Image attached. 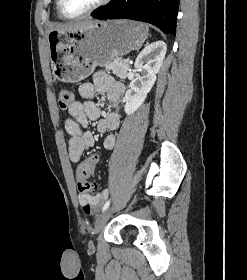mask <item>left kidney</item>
<instances>
[{"label": "left kidney", "instance_id": "left-kidney-1", "mask_svg": "<svg viewBox=\"0 0 247 280\" xmlns=\"http://www.w3.org/2000/svg\"><path fill=\"white\" fill-rule=\"evenodd\" d=\"M166 51L165 42L156 41L146 46L136 58L134 67L140 74H136L131 81L124 97L127 115L137 111L145 101L156 81V74L160 71Z\"/></svg>", "mask_w": 247, "mask_h": 280}]
</instances>
